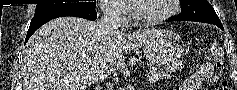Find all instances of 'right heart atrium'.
Returning <instances> with one entry per match:
<instances>
[{"mask_svg":"<svg viewBox=\"0 0 237 90\" xmlns=\"http://www.w3.org/2000/svg\"><path fill=\"white\" fill-rule=\"evenodd\" d=\"M98 5L103 6V11L112 20H127V9L120 5L117 0H101V2H98Z\"/></svg>","mask_w":237,"mask_h":90,"instance_id":"1","label":"right heart atrium"}]
</instances>
